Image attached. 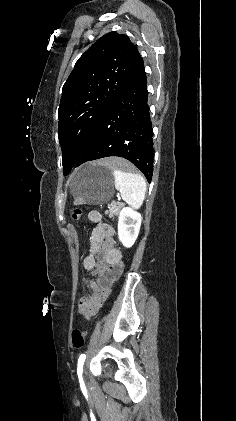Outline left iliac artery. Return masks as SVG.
Returning a JSON list of instances; mask_svg holds the SVG:
<instances>
[{
    "instance_id": "1",
    "label": "left iliac artery",
    "mask_w": 236,
    "mask_h": 421,
    "mask_svg": "<svg viewBox=\"0 0 236 421\" xmlns=\"http://www.w3.org/2000/svg\"><path fill=\"white\" fill-rule=\"evenodd\" d=\"M85 358H86V355L81 354L79 359H78V368H77L78 374H82V372H83V365H84Z\"/></svg>"
}]
</instances>
